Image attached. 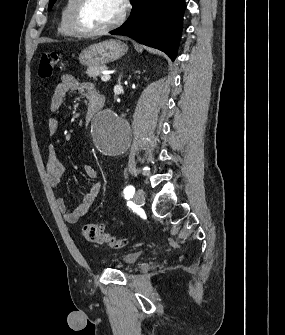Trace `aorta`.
Returning <instances> with one entry per match:
<instances>
[{
	"instance_id": "762f6f07",
	"label": "aorta",
	"mask_w": 285,
	"mask_h": 335,
	"mask_svg": "<svg viewBox=\"0 0 285 335\" xmlns=\"http://www.w3.org/2000/svg\"><path fill=\"white\" fill-rule=\"evenodd\" d=\"M123 100L121 95L116 97ZM105 112H96V119H90L88 134L93 137V147H99L102 156H119L127 152L132 130L125 125V119H119L116 105H105Z\"/></svg>"
}]
</instances>
